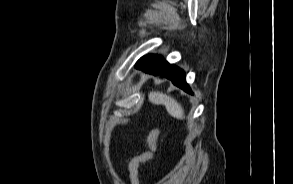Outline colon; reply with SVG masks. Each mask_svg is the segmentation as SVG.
Wrapping results in <instances>:
<instances>
[{"label":"colon","mask_w":293,"mask_h":184,"mask_svg":"<svg viewBox=\"0 0 293 184\" xmlns=\"http://www.w3.org/2000/svg\"><path fill=\"white\" fill-rule=\"evenodd\" d=\"M159 134H160V129L158 127L153 128L150 131L147 138L148 149L145 152L135 156L131 160L129 164L131 184H141L140 178H139V168L142 164L148 162L154 157L157 151V142H158Z\"/></svg>","instance_id":"obj_1"}]
</instances>
